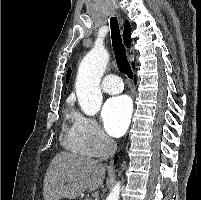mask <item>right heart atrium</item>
<instances>
[{
	"mask_svg": "<svg viewBox=\"0 0 201 200\" xmlns=\"http://www.w3.org/2000/svg\"><path fill=\"white\" fill-rule=\"evenodd\" d=\"M73 132L77 146L86 155L100 156L113 147V141L90 117L74 113Z\"/></svg>",
	"mask_w": 201,
	"mask_h": 200,
	"instance_id": "right-heart-atrium-1",
	"label": "right heart atrium"
}]
</instances>
